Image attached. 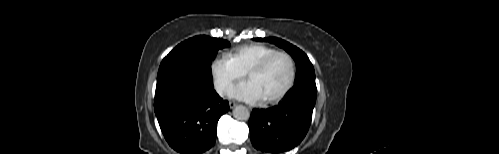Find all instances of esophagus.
Masks as SVG:
<instances>
[{"label": "esophagus", "instance_id": "1", "mask_svg": "<svg viewBox=\"0 0 499 154\" xmlns=\"http://www.w3.org/2000/svg\"><path fill=\"white\" fill-rule=\"evenodd\" d=\"M237 106V103L235 101H230L229 102V107L232 109Z\"/></svg>", "mask_w": 499, "mask_h": 154}]
</instances>
